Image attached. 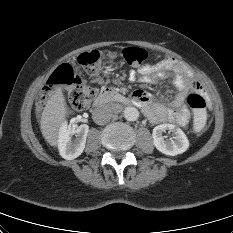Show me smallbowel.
Returning a JSON list of instances; mask_svg holds the SVG:
<instances>
[{
  "mask_svg": "<svg viewBox=\"0 0 233 233\" xmlns=\"http://www.w3.org/2000/svg\"><path fill=\"white\" fill-rule=\"evenodd\" d=\"M131 81L155 83L171 78L179 93L168 104L154 103L150 94L138 89L132 94V101L141 107L153 122L172 123L185 126L190 118L185 98L188 91L203 92L202 84L176 59L166 56L157 63L146 64L137 70H131L128 75Z\"/></svg>",
  "mask_w": 233,
  "mask_h": 233,
  "instance_id": "1",
  "label": "small bowel"
}]
</instances>
